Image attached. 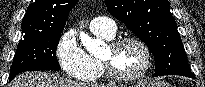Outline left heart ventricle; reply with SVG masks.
<instances>
[{
    "label": "left heart ventricle",
    "instance_id": "1",
    "mask_svg": "<svg viewBox=\"0 0 205 87\" xmlns=\"http://www.w3.org/2000/svg\"><path fill=\"white\" fill-rule=\"evenodd\" d=\"M102 57H110L116 71L123 75L138 73L145 63L144 52L134 43L124 44L113 54L107 47Z\"/></svg>",
    "mask_w": 205,
    "mask_h": 87
}]
</instances>
